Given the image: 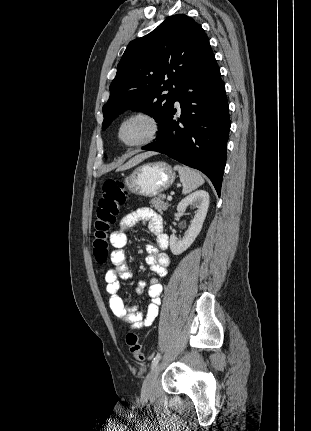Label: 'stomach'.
<instances>
[{"instance_id":"obj_1","label":"stomach","mask_w":311,"mask_h":431,"mask_svg":"<svg viewBox=\"0 0 311 431\" xmlns=\"http://www.w3.org/2000/svg\"><path fill=\"white\" fill-rule=\"evenodd\" d=\"M175 172L166 162H149L135 168L124 178V186L130 194L156 198L171 188L175 182Z\"/></svg>"}]
</instances>
